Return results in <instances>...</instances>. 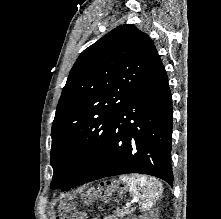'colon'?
Returning a JSON list of instances; mask_svg holds the SVG:
<instances>
[{"label": "colon", "instance_id": "1", "mask_svg": "<svg viewBox=\"0 0 221 219\" xmlns=\"http://www.w3.org/2000/svg\"><path fill=\"white\" fill-rule=\"evenodd\" d=\"M100 196L106 199L108 196L111 195L112 187L110 185H102L100 187ZM94 191L88 192L89 195L93 194ZM65 219H86L85 214L75 210H69L65 213Z\"/></svg>", "mask_w": 221, "mask_h": 219}]
</instances>
